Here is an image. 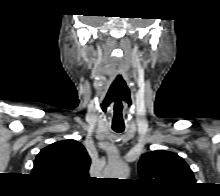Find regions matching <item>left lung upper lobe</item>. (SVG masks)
I'll return each instance as SVG.
<instances>
[{
	"instance_id": "obj_1",
	"label": "left lung upper lobe",
	"mask_w": 220,
	"mask_h": 196,
	"mask_svg": "<svg viewBox=\"0 0 220 196\" xmlns=\"http://www.w3.org/2000/svg\"><path fill=\"white\" fill-rule=\"evenodd\" d=\"M138 170L143 182L164 192L178 193L195 183L193 172L186 162L180 156L164 150L143 154Z\"/></svg>"
}]
</instances>
